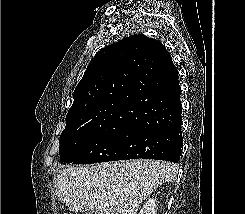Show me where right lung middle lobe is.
Listing matches in <instances>:
<instances>
[{"mask_svg": "<svg viewBox=\"0 0 245 214\" xmlns=\"http://www.w3.org/2000/svg\"><path fill=\"white\" fill-rule=\"evenodd\" d=\"M129 122H119L91 129L66 128L60 136L61 163L90 164L115 161Z\"/></svg>", "mask_w": 245, "mask_h": 214, "instance_id": "obj_1", "label": "right lung middle lobe"}]
</instances>
